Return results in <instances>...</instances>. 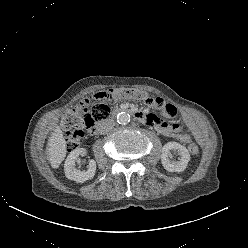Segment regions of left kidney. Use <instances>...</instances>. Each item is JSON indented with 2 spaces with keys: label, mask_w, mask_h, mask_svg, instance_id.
<instances>
[{
  "label": "left kidney",
  "mask_w": 248,
  "mask_h": 248,
  "mask_svg": "<svg viewBox=\"0 0 248 248\" xmlns=\"http://www.w3.org/2000/svg\"><path fill=\"white\" fill-rule=\"evenodd\" d=\"M171 151H177L181 156L179 161H171ZM190 161V154L186 147L177 142H168L162 148L161 162L165 170L168 172H182L186 169Z\"/></svg>",
  "instance_id": "5707ae66"
}]
</instances>
